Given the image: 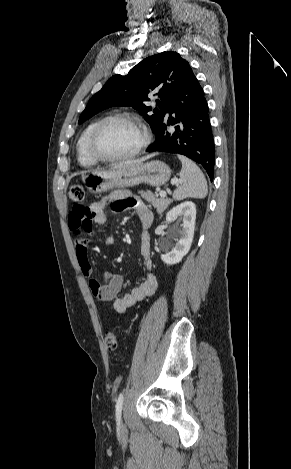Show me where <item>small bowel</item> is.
Segmentation results:
<instances>
[{
	"instance_id": "small-bowel-1",
	"label": "small bowel",
	"mask_w": 291,
	"mask_h": 469,
	"mask_svg": "<svg viewBox=\"0 0 291 469\" xmlns=\"http://www.w3.org/2000/svg\"><path fill=\"white\" fill-rule=\"evenodd\" d=\"M108 204L116 212L130 209L135 210L142 228L140 254L144 260L146 273L130 292L122 296L119 295L123 285V277L120 274L105 272L101 281L93 276L92 266L89 261L91 241L84 237L85 233L93 230L94 224L103 225L107 223L106 206ZM152 220L153 215L148 207L123 190L114 191L107 197L91 203L84 213L79 212L74 207L73 211L69 214L68 225L75 236L77 261L82 274L88 280L89 289L99 300L111 301L114 311L118 314L125 313L128 308L154 295L157 290L158 280L154 274L149 272L151 261L148 228ZM114 242L115 237L111 233L107 234L103 240V243L106 245H112Z\"/></svg>"
}]
</instances>
